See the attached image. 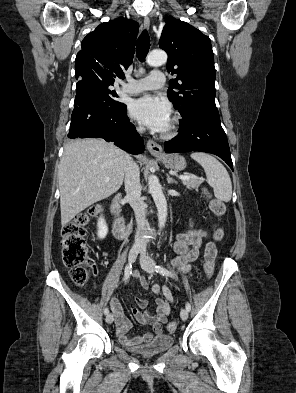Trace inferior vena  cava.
I'll return each mask as SVG.
<instances>
[{
  "mask_svg": "<svg viewBox=\"0 0 296 393\" xmlns=\"http://www.w3.org/2000/svg\"><path fill=\"white\" fill-rule=\"evenodd\" d=\"M139 132H143L144 128L139 127ZM124 172H125V191L126 198L129 201L130 206L133 208L135 218L137 222L138 231L135 236L134 246L138 248L146 247V240L143 237L142 230L146 226L147 222L145 219V203L141 197V185H140V172L138 165L132 160L129 155H126L124 160Z\"/></svg>",
  "mask_w": 296,
  "mask_h": 393,
  "instance_id": "inferior-vena-cava-1",
  "label": "inferior vena cava"
}]
</instances>
